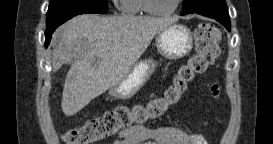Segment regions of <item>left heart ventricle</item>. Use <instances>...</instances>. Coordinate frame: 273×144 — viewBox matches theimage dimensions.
Masks as SVG:
<instances>
[{
    "label": "left heart ventricle",
    "instance_id": "b2bd125f",
    "mask_svg": "<svg viewBox=\"0 0 273 144\" xmlns=\"http://www.w3.org/2000/svg\"><path fill=\"white\" fill-rule=\"evenodd\" d=\"M176 0H153L152 6L157 10H169L171 9Z\"/></svg>",
    "mask_w": 273,
    "mask_h": 144
}]
</instances>
